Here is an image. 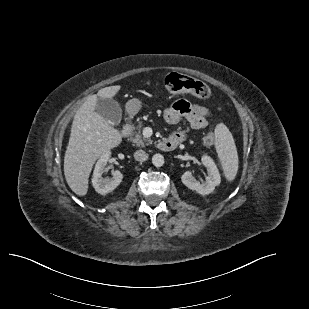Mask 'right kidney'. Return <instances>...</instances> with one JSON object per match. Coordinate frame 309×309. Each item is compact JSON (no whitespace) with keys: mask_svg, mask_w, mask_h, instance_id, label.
Returning a JSON list of instances; mask_svg holds the SVG:
<instances>
[{"mask_svg":"<svg viewBox=\"0 0 309 309\" xmlns=\"http://www.w3.org/2000/svg\"><path fill=\"white\" fill-rule=\"evenodd\" d=\"M110 158V152L104 153L97 161L93 177L92 184L96 192L105 195L113 191L122 181L123 175L120 171H112V178H103L102 174L105 172L106 165Z\"/></svg>","mask_w":309,"mask_h":309,"instance_id":"ca27d5eb","label":"right kidney"}]
</instances>
